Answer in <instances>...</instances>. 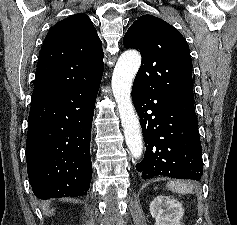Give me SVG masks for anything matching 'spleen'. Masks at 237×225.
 <instances>
[{
  "label": "spleen",
  "mask_w": 237,
  "mask_h": 225,
  "mask_svg": "<svg viewBox=\"0 0 237 225\" xmlns=\"http://www.w3.org/2000/svg\"><path fill=\"white\" fill-rule=\"evenodd\" d=\"M166 187L171 190L172 192L179 193V194H187L193 192V185L189 182L174 180L170 181L166 184Z\"/></svg>",
  "instance_id": "obj_1"
}]
</instances>
